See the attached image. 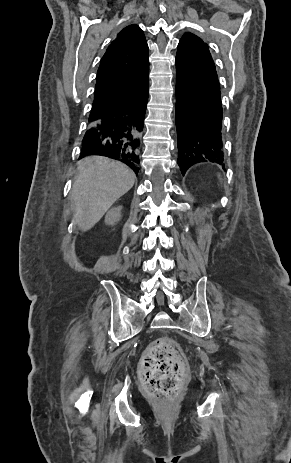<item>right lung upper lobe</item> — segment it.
Here are the masks:
<instances>
[{"mask_svg":"<svg viewBox=\"0 0 291 463\" xmlns=\"http://www.w3.org/2000/svg\"><path fill=\"white\" fill-rule=\"evenodd\" d=\"M148 45L135 24L121 30L103 55L97 72L95 98L89 123L120 107L149 81Z\"/></svg>","mask_w":291,"mask_h":463,"instance_id":"right-lung-upper-lobe-1","label":"right lung upper lobe"}]
</instances>
